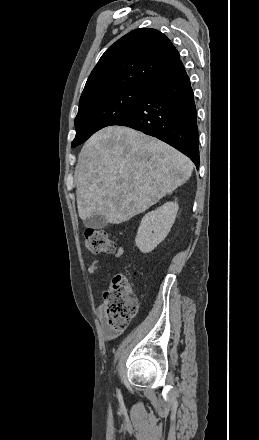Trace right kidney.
<instances>
[{"label": "right kidney", "mask_w": 259, "mask_h": 440, "mask_svg": "<svg viewBox=\"0 0 259 440\" xmlns=\"http://www.w3.org/2000/svg\"><path fill=\"white\" fill-rule=\"evenodd\" d=\"M178 209L177 202H166L142 218L135 238V244L142 253L153 251L165 239L174 224Z\"/></svg>", "instance_id": "obj_1"}]
</instances>
